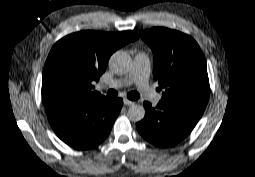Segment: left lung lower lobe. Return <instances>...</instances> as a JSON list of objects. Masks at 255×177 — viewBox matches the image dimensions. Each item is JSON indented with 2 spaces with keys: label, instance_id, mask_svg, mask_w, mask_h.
Wrapping results in <instances>:
<instances>
[{
  "label": "left lung lower lobe",
  "instance_id": "left-lung-lower-lobe-1",
  "mask_svg": "<svg viewBox=\"0 0 255 177\" xmlns=\"http://www.w3.org/2000/svg\"><path fill=\"white\" fill-rule=\"evenodd\" d=\"M145 118L136 124L138 132L150 143L169 147L184 139L193 129L204 109L162 100L156 108L144 103Z\"/></svg>",
  "mask_w": 255,
  "mask_h": 177
}]
</instances>
